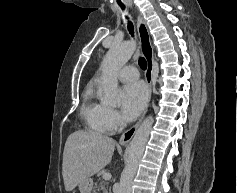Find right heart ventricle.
Segmentation results:
<instances>
[{"label":"right heart ventricle","mask_w":237,"mask_h":193,"mask_svg":"<svg viewBox=\"0 0 237 193\" xmlns=\"http://www.w3.org/2000/svg\"><path fill=\"white\" fill-rule=\"evenodd\" d=\"M106 108L107 107L97 99L94 84H88L82 94L80 112L90 131L99 134L110 132L105 121Z\"/></svg>","instance_id":"e07e8e85"}]
</instances>
